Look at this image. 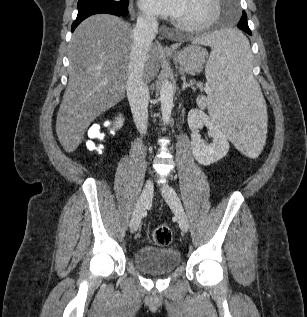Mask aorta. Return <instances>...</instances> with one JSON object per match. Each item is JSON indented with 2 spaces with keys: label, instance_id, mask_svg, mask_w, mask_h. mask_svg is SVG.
<instances>
[{
  "label": "aorta",
  "instance_id": "762f6f07",
  "mask_svg": "<svg viewBox=\"0 0 307 317\" xmlns=\"http://www.w3.org/2000/svg\"><path fill=\"white\" fill-rule=\"evenodd\" d=\"M173 85L170 81H163L160 89L161 114L164 125L168 124L171 117V112L174 106L173 103Z\"/></svg>",
  "mask_w": 307,
  "mask_h": 317
}]
</instances>
